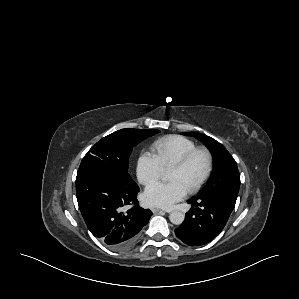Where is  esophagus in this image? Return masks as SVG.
I'll list each match as a JSON object with an SVG mask.
<instances>
[{
    "label": "esophagus",
    "mask_w": 299,
    "mask_h": 299,
    "mask_svg": "<svg viewBox=\"0 0 299 299\" xmlns=\"http://www.w3.org/2000/svg\"><path fill=\"white\" fill-rule=\"evenodd\" d=\"M151 211H152L153 213H158V212H170V211H165V210H162V209H159V208H155V207L151 208Z\"/></svg>",
    "instance_id": "obj_1"
}]
</instances>
